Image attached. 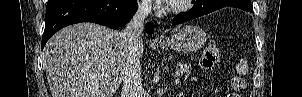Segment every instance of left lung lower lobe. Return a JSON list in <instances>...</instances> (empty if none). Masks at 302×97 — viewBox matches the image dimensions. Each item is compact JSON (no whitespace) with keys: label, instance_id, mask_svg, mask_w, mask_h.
<instances>
[{"label":"left lung lower lobe","instance_id":"left-lung-lower-lobe-1","mask_svg":"<svg viewBox=\"0 0 302 97\" xmlns=\"http://www.w3.org/2000/svg\"><path fill=\"white\" fill-rule=\"evenodd\" d=\"M225 6L236 7L247 12H253L251 0H196L194 6L189 11L181 13L174 17L172 24H181L183 22L221 9Z\"/></svg>","mask_w":302,"mask_h":97}]
</instances>
